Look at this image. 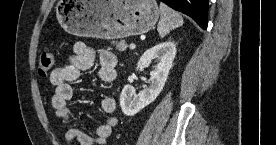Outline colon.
<instances>
[{
	"instance_id": "obj_1",
	"label": "colon",
	"mask_w": 276,
	"mask_h": 145,
	"mask_svg": "<svg viewBox=\"0 0 276 145\" xmlns=\"http://www.w3.org/2000/svg\"><path fill=\"white\" fill-rule=\"evenodd\" d=\"M54 64V55L51 52H43L39 56L38 71L41 76H46Z\"/></svg>"
}]
</instances>
